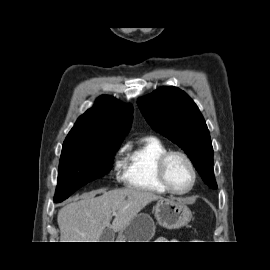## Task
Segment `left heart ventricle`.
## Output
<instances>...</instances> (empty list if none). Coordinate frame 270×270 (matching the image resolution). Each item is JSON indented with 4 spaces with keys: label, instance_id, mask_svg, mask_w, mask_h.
I'll use <instances>...</instances> for the list:
<instances>
[{
    "label": "left heart ventricle",
    "instance_id": "b2bd125f",
    "mask_svg": "<svg viewBox=\"0 0 270 270\" xmlns=\"http://www.w3.org/2000/svg\"><path fill=\"white\" fill-rule=\"evenodd\" d=\"M167 175L171 185L177 190L187 189L192 182L191 170L186 161L179 156L169 160Z\"/></svg>",
    "mask_w": 270,
    "mask_h": 270
}]
</instances>
